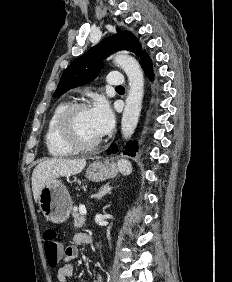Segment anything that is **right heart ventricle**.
<instances>
[{"instance_id": "e07e8e85", "label": "right heart ventricle", "mask_w": 232, "mask_h": 282, "mask_svg": "<svg viewBox=\"0 0 232 282\" xmlns=\"http://www.w3.org/2000/svg\"><path fill=\"white\" fill-rule=\"evenodd\" d=\"M68 105L69 102L66 101L57 104L47 123L45 145L48 153L53 157H67L75 152L74 149L62 142L57 129L59 117Z\"/></svg>"}]
</instances>
